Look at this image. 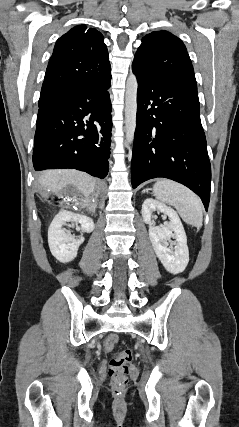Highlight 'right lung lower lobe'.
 Masks as SVG:
<instances>
[{
  "label": "right lung lower lobe",
  "mask_w": 239,
  "mask_h": 427,
  "mask_svg": "<svg viewBox=\"0 0 239 427\" xmlns=\"http://www.w3.org/2000/svg\"><path fill=\"white\" fill-rule=\"evenodd\" d=\"M110 81L111 74L40 97L33 150L36 170L75 168L106 177L112 129Z\"/></svg>",
  "instance_id": "1"
}]
</instances>
